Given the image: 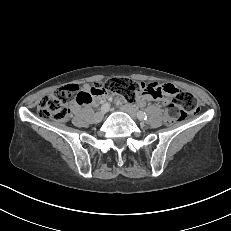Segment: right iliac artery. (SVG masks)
<instances>
[{"label": "right iliac artery", "mask_w": 231, "mask_h": 231, "mask_svg": "<svg viewBox=\"0 0 231 231\" xmlns=\"http://www.w3.org/2000/svg\"><path fill=\"white\" fill-rule=\"evenodd\" d=\"M110 109V104L105 103L102 105L101 110L107 112Z\"/></svg>", "instance_id": "1"}]
</instances>
